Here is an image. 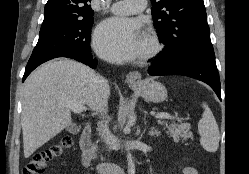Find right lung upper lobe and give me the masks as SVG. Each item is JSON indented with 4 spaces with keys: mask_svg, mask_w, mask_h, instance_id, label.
Returning <instances> with one entry per match:
<instances>
[{
    "mask_svg": "<svg viewBox=\"0 0 249 174\" xmlns=\"http://www.w3.org/2000/svg\"><path fill=\"white\" fill-rule=\"evenodd\" d=\"M91 0H48L42 27L93 17Z\"/></svg>",
    "mask_w": 249,
    "mask_h": 174,
    "instance_id": "1",
    "label": "right lung upper lobe"
}]
</instances>
